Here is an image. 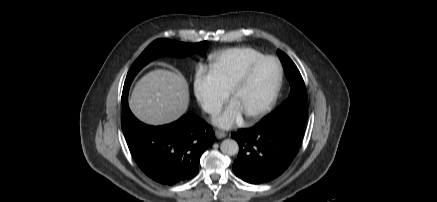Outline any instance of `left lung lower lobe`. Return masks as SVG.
<instances>
[{"label":"left lung lower lobe","mask_w":437,"mask_h":202,"mask_svg":"<svg viewBox=\"0 0 437 202\" xmlns=\"http://www.w3.org/2000/svg\"><path fill=\"white\" fill-rule=\"evenodd\" d=\"M305 122L294 116L262 120L232 134L239 153L232 165L235 175L251 184L271 181L291 163L303 137Z\"/></svg>","instance_id":"1"}]
</instances>
